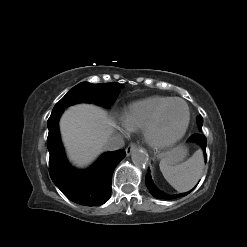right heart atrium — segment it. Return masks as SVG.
Here are the masks:
<instances>
[{
	"mask_svg": "<svg viewBox=\"0 0 247 247\" xmlns=\"http://www.w3.org/2000/svg\"><path fill=\"white\" fill-rule=\"evenodd\" d=\"M121 124H122V126H123L124 129L127 130L129 128L125 120H122L121 121Z\"/></svg>",
	"mask_w": 247,
	"mask_h": 247,
	"instance_id": "right-heart-atrium-1",
	"label": "right heart atrium"
}]
</instances>
